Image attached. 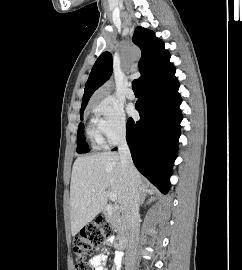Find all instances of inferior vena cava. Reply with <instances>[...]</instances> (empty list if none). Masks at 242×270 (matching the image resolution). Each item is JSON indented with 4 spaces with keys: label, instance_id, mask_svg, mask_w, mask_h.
Masks as SVG:
<instances>
[{
    "label": "inferior vena cava",
    "instance_id": "inferior-vena-cava-1",
    "mask_svg": "<svg viewBox=\"0 0 242 270\" xmlns=\"http://www.w3.org/2000/svg\"><path fill=\"white\" fill-rule=\"evenodd\" d=\"M123 174L127 185V193L124 203V220L129 230V244L127 249V266L131 267L134 263V252L138 243L139 236V203L140 190L135 182V167L131 158L130 150L123 134L118 143Z\"/></svg>",
    "mask_w": 242,
    "mask_h": 270
}]
</instances>
